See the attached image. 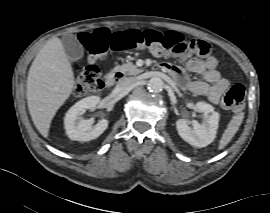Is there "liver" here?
Instances as JSON below:
<instances>
[{"mask_svg": "<svg viewBox=\"0 0 270 213\" xmlns=\"http://www.w3.org/2000/svg\"><path fill=\"white\" fill-rule=\"evenodd\" d=\"M74 86L73 69L62 41L51 38L36 55L27 77L28 109L43 137H48L53 117Z\"/></svg>", "mask_w": 270, "mask_h": 213, "instance_id": "liver-1", "label": "liver"}]
</instances>
